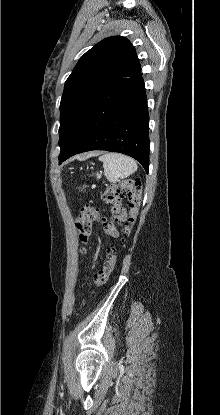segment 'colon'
<instances>
[{
	"label": "colon",
	"instance_id": "obj_1",
	"mask_svg": "<svg viewBox=\"0 0 220 415\" xmlns=\"http://www.w3.org/2000/svg\"><path fill=\"white\" fill-rule=\"evenodd\" d=\"M126 192L130 194L129 212L123 206V197ZM103 198L110 206V220L101 216L99 209L94 205H84L81 208L80 215L78 216L75 225L79 240L83 245L88 243L94 223H98L100 228L111 237H117L118 226L124 224V238H127L130 235L136 214L141 204V181L138 178L128 179L119 184L112 185L106 189ZM116 262V249L110 248L102 269L92 279L95 286H102L106 283L114 271Z\"/></svg>",
	"mask_w": 220,
	"mask_h": 415
}]
</instances>
